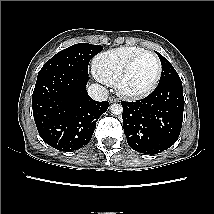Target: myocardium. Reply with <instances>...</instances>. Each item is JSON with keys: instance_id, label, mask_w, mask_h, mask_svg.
Instances as JSON below:
<instances>
[{"instance_id": "f54148a6", "label": "myocardium", "mask_w": 214, "mask_h": 214, "mask_svg": "<svg viewBox=\"0 0 214 214\" xmlns=\"http://www.w3.org/2000/svg\"><path fill=\"white\" fill-rule=\"evenodd\" d=\"M144 55H151L154 57L156 64H157V73L155 76L154 81L152 82V84L142 90V91H138V92H132V91H128L125 89L124 84L126 79L128 78L132 68L134 67V65L136 64V62L142 58ZM161 75H162V64L161 61L159 59V57L152 51H148L145 50L139 54H137L136 56H134L128 63L127 65L124 67V69L122 70L117 82H116V88L117 91L119 93V95H121L122 97H125L127 99H141L144 97H147L148 95H150L158 86L160 79H161Z\"/></svg>"}]
</instances>
